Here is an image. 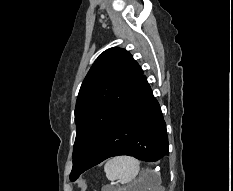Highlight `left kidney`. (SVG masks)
<instances>
[{
  "instance_id": "1",
  "label": "left kidney",
  "mask_w": 233,
  "mask_h": 191,
  "mask_svg": "<svg viewBox=\"0 0 233 191\" xmlns=\"http://www.w3.org/2000/svg\"><path fill=\"white\" fill-rule=\"evenodd\" d=\"M146 189H150V187H146ZM144 191H146V190H144Z\"/></svg>"
}]
</instances>
